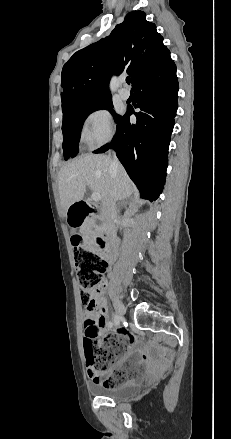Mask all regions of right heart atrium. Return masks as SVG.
<instances>
[{
  "instance_id": "obj_1",
  "label": "right heart atrium",
  "mask_w": 231,
  "mask_h": 439,
  "mask_svg": "<svg viewBox=\"0 0 231 439\" xmlns=\"http://www.w3.org/2000/svg\"><path fill=\"white\" fill-rule=\"evenodd\" d=\"M114 126L111 114L105 107L92 109L82 126V140L92 148H97L112 140Z\"/></svg>"
}]
</instances>
